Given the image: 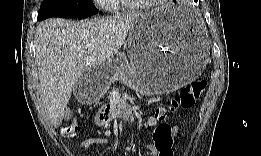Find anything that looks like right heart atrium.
<instances>
[{
	"label": "right heart atrium",
	"mask_w": 261,
	"mask_h": 156,
	"mask_svg": "<svg viewBox=\"0 0 261 156\" xmlns=\"http://www.w3.org/2000/svg\"><path fill=\"white\" fill-rule=\"evenodd\" d=\"M97 4L101 8L108 10V11H112L115 9V4H114V1H112V0H100L97 2Z\"/></svg>",
	"instance_id": "right-heart-atrium-1"
}]
</instances>
